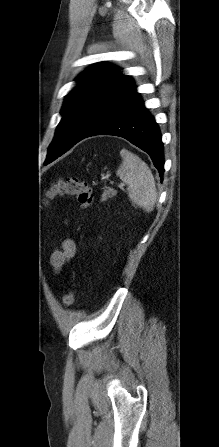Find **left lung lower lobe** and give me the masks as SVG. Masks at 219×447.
Returning a JSON list of instances; mask_svg holds the SVG:
<instances>
[{
	"label": "left lung lower lobe",
	"instance_id": "0a47b994",
	"mask_svg": "<svg viewBox=\"0 0 219 447\" xmlns=\"http://www.w3.org/2000/svg\"><path fill=\"white\" fill-rule=\"evenodd\" d=\"M95 135H115L130 141L151 157L162 179L164 173V153L161 134L157 123L145 108L135 86L85 138ZM60 155L46 160L45 164L50 163Z\"/></svg>",
	"mask_w": 219,
	"mask_h": 447
}]
</instances>
